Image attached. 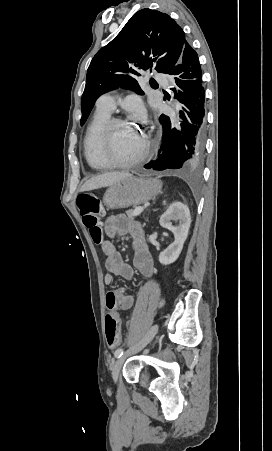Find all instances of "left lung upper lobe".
<instances>
[{
    "label": "left lung upper lobe",
    "mask_w": 272,
    "mask_h": 451,
    "mask_svg": "<svg viewBox=\"0 0 272 451\" xmlns=\"http://www.w3.org/2000/svg\"><path fill=\"white\" fill-rule=\"evenodd\" d=\"M186 43L185 33L168 14L147 8L135 13L89 65L81 99V125L97 98L109 90L123 87L144 94L136 80L139 72L154 66L157 72L168 74Z\"/></svg>",
    "instance_id": "5c2ea615"
}]
</instances>
